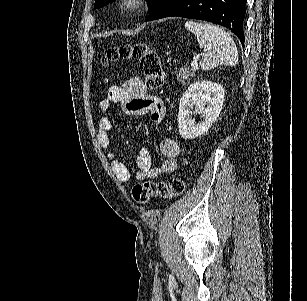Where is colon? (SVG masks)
Returning a JSON list of instances; mask_svg holds the SVG:
<instances>
[{
	"label": "colon",
	"instance_id": "5ec220e1",
	"mask_svg": "<svg viewBox=\"0 0 307 301\" xmlns=\"http://www.w3.org/2000/svg\"><path fill=\"white\" fill-rule=\"evenodd\" d=\"M135 60L139 62L141 73L147 86L159 88L164 82L158 53L145 42L122 44L109 48L102 58L103 64H110L118 60ZM185 182L179 176L171 177L166 182L146 180L132 189L133 200L141 205L147 204L151 198H176L183 194Z\"/></svg>",
	"mask_w": 307,
	"mask_h": 301
}]
</instances>
